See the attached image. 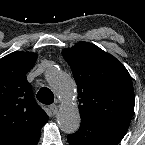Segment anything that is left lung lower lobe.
<instances>
[{
	"instance_id": "obj_1",
	"label": "left lung lower lobe",
	"mask_w": 145,
	"mask_h": 145,
	"mask_svg": "<svg viewBox=\"0 0 145 145\" xmlns=\"http://www.w3.org/2000/svg\"><path fill=\"white\" fill-rule=\"evenodd\" d=\"M129 124L120 120H81L79 130L67 140L70 145H118Z\"/></svg>"
}]
</instances>
